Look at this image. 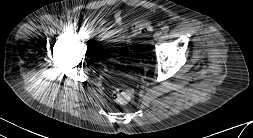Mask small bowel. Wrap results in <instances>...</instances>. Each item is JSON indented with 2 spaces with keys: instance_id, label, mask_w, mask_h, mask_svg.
<instances>
[{
  "instance_id": "c3829d8e",
  "label": "small bowel",
  "mask_w": 253,
  "mask_h": 138,
  "mask_svg": "<svg viewBox=\"0 0 253 138\" xmlns=\"http://www.w3.org/2000/svg\"><path fill=\"white\" fill-rule=\"evenodd\" d=\"M108 28H116L120 29L123 26V20H122V15L120 12L116 13L114 16V22H104Z\"/></svg>"
}]
</instances>
